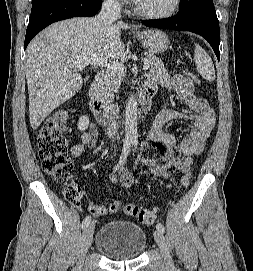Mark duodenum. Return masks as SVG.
<instances>
[{
    "instance_id": "410a0bca",
    "label": "duodenum",
    "mask_w": 253,
    "mask_h": 271,
    "mask_svg": "<svg viewBox=\"0 0 253 271\" xmlns=\"http://www.w3.org/2000/svg\"><path fill=\"white\" fill-rule=\"evenodd\" d=\"M104 72H99L95 75L94 80L88 91L89 106L96 117L97 121L101 124L108 125L112 122V114L109 106L105 104L100 98V85L105 79ZM153 94L149 91H144L139 101V107L142 113H147L152 108Z\"/></svg>"
}]
</instances>
